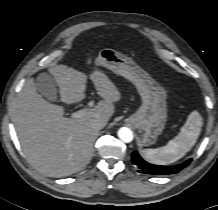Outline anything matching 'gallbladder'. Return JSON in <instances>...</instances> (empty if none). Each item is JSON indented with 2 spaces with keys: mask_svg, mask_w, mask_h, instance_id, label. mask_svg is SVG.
<instances>
[{
  "mask_svg": "<svg viewBox=\"0 0 218 210\" xmlns=\"http://www.w3.org/2000/svg\"><path fill=\"white\" fill-rule=\"evenodd\" d=\"M36 89L45 98L51 101H57L56 83L48 73H40L36 78Z\"/></svg>",
  "mask_w": 218,
  "mask_h": 210,
  "instance_id": "obj_1",
  "label": "gallbladder"
}]
</instances>
